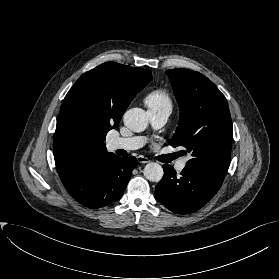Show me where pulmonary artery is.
Wrapping results in <instances>:
<instances>
[{
	"instance_id": "e3ab8cb5",
	"label": "pulmonary artery",
	"mask_w": 279,
	"mask_h": 279,
	"mask_svg": "<svg viewBox=\"0 0 279 279\" xmlns=\"http://www.w3.org/2000/svg\"><path fill=\"white\" fill-rule=\"evenodd\" d=\"M169 110H149L148 115L153 126H163L169 117ZM144 144L142 137H116L110 140V148L112 150L123 149V150H136ZM186 165L185 160H179L175 168L177 171H182Z\"/></svg>"
}]
</instances>
